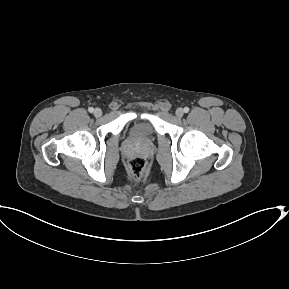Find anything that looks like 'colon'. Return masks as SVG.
Wrapping results in <instances>:
<instances>
[{
    "label": "colon",
    "instance_id": "colon-1",
    "mask_svg": "<svg viewBox=\"0 0 289 289\" xmlns=\"http://www.w3.org/2000/svg\"><path fill=\"white\" fill-rule=\"evenodd\" d=\"M129 172L134 179H139L146 169V161L142 157H133L128 162Z\"/></svg>",
    "mask_w": 289,
    "mask_h": 289
}]
</instances>
